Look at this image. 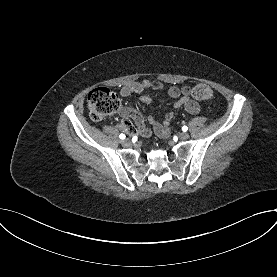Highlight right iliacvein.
Returning <instances> with one entry per match:
<instances>
[{
	"instance_id": "63e3f726",
	"label": "right iliac vein",
	"mask_w": 277,
	"mask_h": 277,
	"mask_svg": "<svg viewBox=\"0 0 277 277\" xmlns=\"http://www.w3.org/2000/svg\"><path fill=\"white\" fill-rule=\"evenodd\" d=\"M122 145H123L124 147H130V146L132 145V142H131L130 139H124V140L122 141Z\"/></svg>"
}]
</instances>
